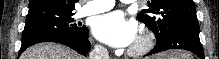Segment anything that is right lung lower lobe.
<instances>
[{
    "instance_id": "right-lung-lower-lobe-1",
    "label": "right lung lower lobe",
    "mask_w": 219,
    "mask_h": 59,
    "mask_svg": "<svg viewBox=\"0 0 219 59\" xmlns=\"http://www.w3.org/2000/svg\"><path fill=\"white\" fill-rule=\"evenodd\" d=\"M88 29L84 37H74L70 35H51V36H45L42 38L30 40L28 42L22 43L19 55L29 46L40 43V42H56L63 45H66L80 54H86L90 48L91 44L88 40Z\"/></svg>"
}]
</instances>
